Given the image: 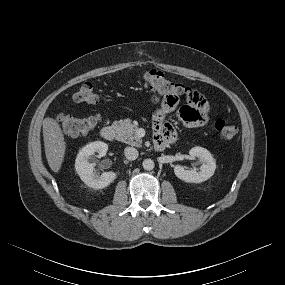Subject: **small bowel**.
Returning <instances> with one entry per match:
<instances>
[{
	"instance_id": "1",
	"label": "small bowel",
	"mask_w": 285,
	"mask_h": 285,
	"mask_svg": "<svg viewBox=\"0 0 285 285\" xmlns=\"http://www.w3.org/2000/svg\"><path fill=\"white\" fill-rule=\"evenodd\" d=\"M147 103L153 109H158L153 117L154 136L164 137L169 142L174 141V127L166 121V117L178 116L185 127L200 128L209 121V104L198 92L188 98V103L181 107V99L174 93L164 94L153 90L147 96Z\"/></svg>"
}]
</instances>
